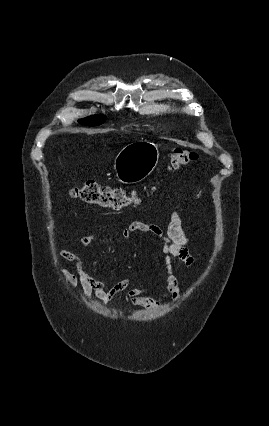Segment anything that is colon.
I'll return each instance as SVG.
<instances>
[{
	"label": "colon",
	"instance_id": "1",
	"mask_svg": "<svg viewBox=\"0 0 269 426\" xmlns=\"http://www.w3.org/2000/svg\"><path fill=\"white\" fill-rule=\"evenodd\" d=\"M198 155L193 150L176 148L171 153L169 170H176L181 166L196 161ZM73 197L101 208L119 210L132 205L138 201L132 192H127L121 187L100 185L95 181H87L72 190Z\"/></svg>",
	"mask_w": 269,
	"mask_h": 426
}]
</instances>
